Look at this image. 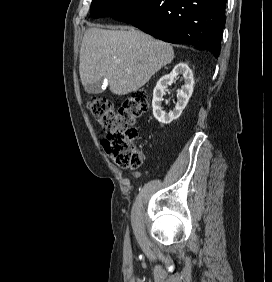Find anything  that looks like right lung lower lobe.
<instances>
[{
  "instance_id": "obj_1",
  "label": "right lung lower lobe",
  "mask_w": 272,
  "mask_h": 282,
  "mask_svg": "<svg viewBox=\"0 0 272 282\" xmlns=\"http://www.w3.org/2000/svg\"><path fill=\"white\" fill-rule=\"evenodd\" d=\"M227 0H137L110 17L166 42L191 44L217 58Z\"/></svg>"
}]
</instances>
